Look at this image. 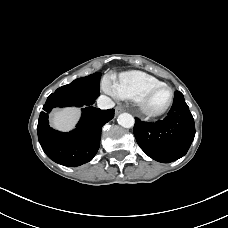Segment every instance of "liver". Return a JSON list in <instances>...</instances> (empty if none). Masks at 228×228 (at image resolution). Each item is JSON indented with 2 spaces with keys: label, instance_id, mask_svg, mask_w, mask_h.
<instances>
[{
  "label": "liver",
  "instance_id": "6515ba94",
  "mask_svg": "<svg viewBox=\"0 0 228 228\" xmlns=\"http://www.w3.org/2000/svg\"><path fill=\"white\" fill-rule=\"evenodd\" d=\"M80 117V109L65 108L52 114L51 123L55 129L66 132L75 127Z\"/></svg>",
  "mask_w": 228,
  "mask_h": 228
}]
</instances>
